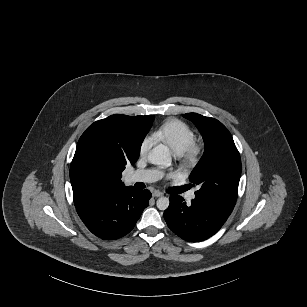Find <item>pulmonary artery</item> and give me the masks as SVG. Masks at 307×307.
Segmentation results:
<instances>
[{
    "instance_id": "obj_1",
    "label": "pulmonary artery",
    "mask_w": 307,
    "mask_h": 307,
    "mask_svg": "<svg viewBox=\"0 0 307 307\" xmlns=\"http://www.w3.org/2000/svg\"><path fill=\"white\" fill-rule=\"evenodd\" d=\"M160 173L155 170H147V171H131L128 174L129 181L139 180L145 183H152L159 179ZM191 198H194V194H191Z\"/></svg>"
}]
</instances>
